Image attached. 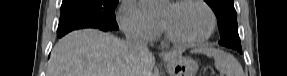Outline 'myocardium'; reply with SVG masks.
<instances>
[{"label":"myocardium","instance_id":"f54148a6","mask_svg":"<svg viewBox=\"0 0 287 76\" xmlns=\"http://www.w3.org/2000/svg\"><path fill=\"white\" fill-rule=\"evenodd\" d=\"M188 3H193V4H197L199 6H201L206 13L208 14L209 17V25L208 28L206 30V32L196 38V39H192V40H184V39H180L178 37H176L167 27V25L165 24V22L163 20H161V26H162V30L164 32V35L166 37V39L168 41H170L171 43L175 44V45H179V46H184V47H193V46H197L200 44H203L204 42H206L207 40L210 39V37L213 35L216 26H217V19H216V15L214 13V11L212 10V8L203 0H180V1H176L170 4V6L172 7H178L184 4H188Z\"/></svg>","mask_w":287,"mask_h":76}]
</instances>
